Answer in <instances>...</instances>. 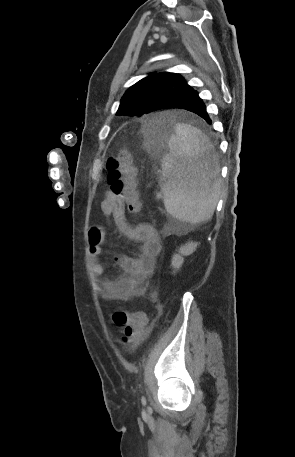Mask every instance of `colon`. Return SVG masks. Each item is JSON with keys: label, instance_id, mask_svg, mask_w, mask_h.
<instances>
[{"label": "colon", "instance_id": "1", "mask_svg": "<svg viewBox=\"0 0 295 457\" xmlns=\"http://www.w3.org/2000/svg\"><path fill=\"white\" fill-rule=\"evenodd\" d=\"M110 190L133 214L141 210V203L136 191V170L132 157L128 152H121L117 157L110 158L106 164ZM116 325L123 328L122 340L126 344L135 345L145 335L147 317L142 312L128 314L122 309H117L112 315Z\"/></svg>", "mask_w": 295, "mask_h": 457}]
</instances>
